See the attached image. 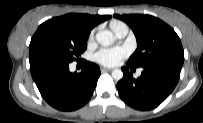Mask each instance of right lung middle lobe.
Here are the masks:
<instances>
[{
  "instance_id": "obj_1",
  "label": "right lung middle lobe",
  "mask_w": 203,
  "mask_h": 123,
  "mask_svg": "<svg viewBox=\"0 0 203 123\" xmlns=\"http://www.w3.org/2000/svg\"><path fill=\"white\" fill-rule=\"evenodd\" d=\"M89 31L76 21L55 17L39 26L29 45V59L52 57L72 62L87 48Z\"/></svg>"
}]
</instances>
